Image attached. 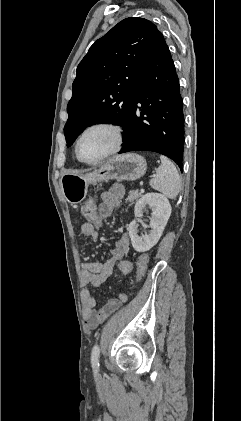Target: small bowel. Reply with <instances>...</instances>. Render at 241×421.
Masks as SVG:
<instances>
[{"label":"small bowel","instance_id":"small-bowel-1","mask_svg":"<svg viewBox=\"0 0 241 421\" xmlns=\"http://www.w3.org/2000/svg\"><path fill=\"white\" fill-rule=\"evenodd\" d=\"M124 196V188L121 185H114L108 191L102 193V202L98 206V216L101 220L111 216L114 209L120 204ZM84 237L96 240L98 232L92 224L83 223L80 228ZM129 249L128 237L123 234L115 243L110 256L103 262H85L82 264L81 272V300L83 302V317L86 325L94 329L103 323L113 312H115L126 300L124 294L118 298L110 299L99 309H96V300L91 296L89 287L102 285L112 274L116 263L125 256Z\"/></svg>","mask_w":241,"mask_h":421}]
</instances>
